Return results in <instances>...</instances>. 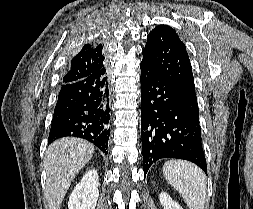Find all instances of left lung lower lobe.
Wrapping results in <instances>:
<instances>
[{"label":"left lung lower lobe","instance_id":"obj_1","mask_svg":"<svg viewBox=\"0 0 253 209\" xmlns=\"http://www.w3.org/2000/svg\"><path fill=\"white\" fill-rule=\"evenodd\" d=\"M140 68L144 175L161 158L191 161L207 174L199 118L160 72L143 62Z\"/></svg>","mask_w":253,"mask_h":209}]
</instances>
